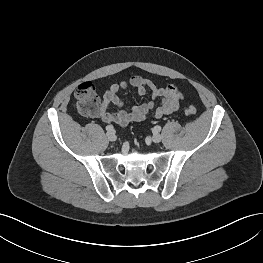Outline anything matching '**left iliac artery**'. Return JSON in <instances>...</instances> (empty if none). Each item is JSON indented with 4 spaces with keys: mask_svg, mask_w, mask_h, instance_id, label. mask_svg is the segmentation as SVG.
<instances>
[{
    "mask_svg": "<svg viewBox=\"0 0 263 263\" xmlns=\"http://www.w3.org/2000/svg\"><path fill=\"white\" fill-rule=\"evenodd\" d=\"M154 131L160 132L161 131V126L157 125L154 127Z\"/></svg>",
    "mask_w": 263,
    "mask_h": 263,
    "instance_id": "obj_1",
    "label": "left iliac artery"
}]
</instances>
